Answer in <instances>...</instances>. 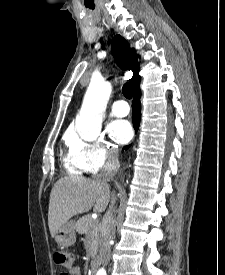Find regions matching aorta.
<instances>
[{
  "label": "aorta",
  "mask_w": 225,
  "mask_h": 275,
  "mask_svg": "<svg viewBox=\"0 0 225 275\" xmlns=\"http://www.w3.org/2000/svg\"><path fill=\"white\" fill-rule=\"evenodd\" d=\"M111 90L109 82L101 79L91 80L75 123V128L82 139L91 141L99 135L102 114L106 109ZM97 275H106V272L100 269Z\"/></svg>",
  "instance_id": "obj_1"
}]
</instances>
